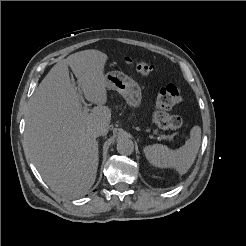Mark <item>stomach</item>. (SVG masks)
<instances>
[{
	"mask_svg": "<svg viewBox=\"0 0 246 246\" xmlns=\"http://www.w3.org/2000/svg\"><path fill=\"white\" fill-rule=\"evenodd\" d=\"M107 88L117 91L133 108L141 104V88L131 77L119 71H111L105 75Z\"/></svg>",
	"mask_w": 246,
	"mask_h": 246,
	"instance_id": "obj_1",
	"label": "stomach"
}]
</instances>
